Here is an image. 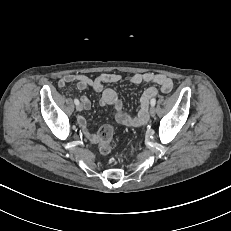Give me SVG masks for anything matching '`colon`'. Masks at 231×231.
<instances>
[{
    "instance_id": "obj_1",
    "label": "colon",
    "mask_w": 231,
    "mask_h": 231,
    "mask_svg": "<svg viewBox=\"0 0 231 231\" xmlns=\"http://www.w3.org/2000/svg\"><path fill=\"white\" fill-rule=\"evenodd\" d=\"M99 147L103 153H107L110 150L111 140L113 136V129L106 125L100 128L99 132Z\"/></svg>"
}]
</instances>
